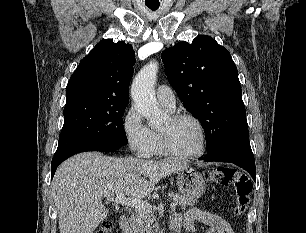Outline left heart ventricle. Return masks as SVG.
<instances>
[{
  "label": "left heart ventricle",
  "mask_w": 306,
  "mask_h": 233,
  "mask_svg": "<svg viewBox=\"0 0 306 233\" xmlns=\"http://www.w3.org/2000/svg\"><path fill=\"white\" fill-rule=\"evenodd\" d=\"M160 131L168 134L171 145L181 153H193L200 148V132L191 120L184 119L173 122L171 118H168Z\"/></svg>",
  "instance_id": "1"
}]
</instances>
